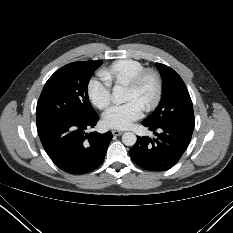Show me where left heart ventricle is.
I'll use <instances>...</instances> for the list:
<instances>
[{
    "instance_id": "b2bd125f",
    "label": "left heart ventricle",
    "mask_w": 233,
    "mask_h": 233,
    "mask_svg": "<svg viewBox=\"0 0 233 233\" xmlns=\"http://www.w3.org/2000/svg\"><path fill=\"white\" fill-rule=\"evenodd\" d=\"M155 93L154 82L151 78H148L144 81L139 90H135L129 86L126 88V93L124 100L125 101H137L143 107L151 101Z\"/></svg>"
}]
</instances>
